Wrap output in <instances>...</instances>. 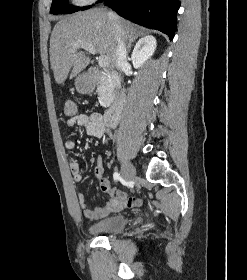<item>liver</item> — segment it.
Listing matches in <instances>:
<instances>
[{
	"mask_svg": "<svg viewBox=\"0 0 247 280\" xmlns=\"http://www.w3.org/2000/svg\"><path fill=\"white\" fill-rule=\"evenodd\" d=\"M123 28L122 38H133L138 34L129 21L117 16ZM87 43L96 51L107 56L111 67L115 64L117 45L113 30V20L103 9H90L61 19L56 23L50 38V63L56 83L63 84L71 71L70 78L77 76L90 63V58L83 51L71 48L75 44Z\"/></svg>",
	"mask_w": 247,
	"mask_h": 280,
	"instance_id": "obj_1",
	"label": "liver"
}]
</instances>
